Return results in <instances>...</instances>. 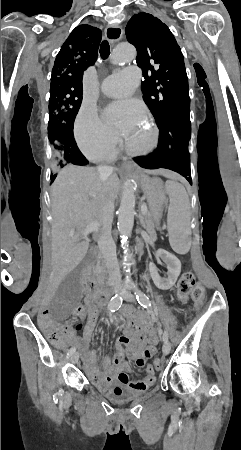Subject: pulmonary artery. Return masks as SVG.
Returning a JSON list of instances; mask_svg holds the SVG:
<instances>
[{"mask_svg":"<svg viewBox=\"0 0 241 450\" xmlns=\"http://www.w3.org/2000/svg\"><path fill=\"white\" fill-rule=\"evenodd\" d=\"M144 70L139 64H126L121 74H109L101 86V91L105 94L106 102H117L119 98L132 95L134 86L131 81L134 78H143Z\"/></svg>","mask_w":241,"mask_h":450,"instance_id":"obj_1","label":"pulmonary artery"}]
</instances>
